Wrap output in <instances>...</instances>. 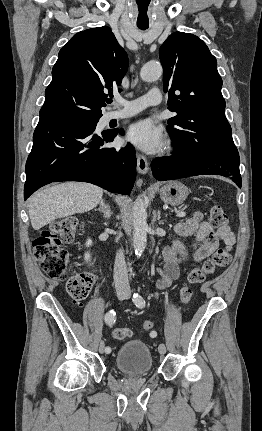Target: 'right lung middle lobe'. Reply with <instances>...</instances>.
<instances>
[{"instance_id":"1","label":"right lung middle lobe","mask_w":262,"mask_h":431,"mask_svg":"<svg viewBox=\"0 0 262 431\" xmlns=\"http://www.w3.org/2000/svg\"><path fill=\"white\" fill-rule=\"evenodd\" d=\"M85 121L92 126H96L99 118H87Z\"/></svg>"}]
</instances>
